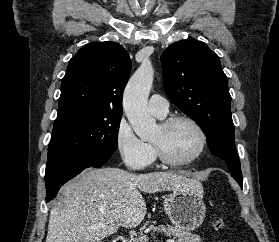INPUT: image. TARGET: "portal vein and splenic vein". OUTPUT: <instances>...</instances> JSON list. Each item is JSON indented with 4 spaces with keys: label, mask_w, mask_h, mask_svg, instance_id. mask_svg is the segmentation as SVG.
<instances>
[{
    "label": "portal vein and splenic vein",
    "mask_w": 279,
    "mask_h": 242,
    "mask_svg": "<svg viewBox=\"0 0 279 242\" xmlns=\"http://www.w3.org/2000/svg\"><path fill=\"white\" fill-rule=\"evenodd\" d=\"M110 222H113V221H110ZM110 222H108V223H110ZM97 226L100 227V226H103V224H99V225H97ZM141 238L144 239L145 242H146V240H147L146 235H142ZM168 242H174V240H168Z\"/></svg>",
    "instance_id": "18ae733b"
}]
</instances>
